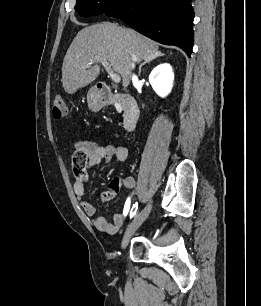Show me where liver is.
Returning a JSON list of instances; mask_svg holds the SVG:
<instances>
[{
	"instance_id": "6515ba94",
	"label": "liver",
	"mask_w": 261,
	"mask_h": 306,
	"mask_svg": "<svg viewBox=\"0 0 261 306\" xmlns=\"http://www.w3.org/2000/svg\"><path fill=\"white\" fill-rule=\"evenodd\" d=\"M159 53L158 44L140 33L114 23H100L81 29L68 48L62 64V84L66 93L92 83L100 74L99 64L87 66L99 57L108 61L127 87L134 62L148 60Z\"/></svg>"
}]
</instances>
